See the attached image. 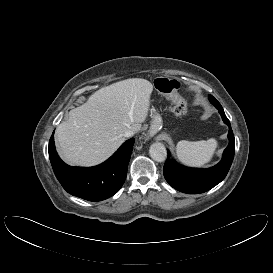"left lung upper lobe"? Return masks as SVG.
I'll list each match as a JSON object with an SVG mask.
<instances>
[{
    "instance_id": "5c2ea615",
    "label": "left lung upper lobe",
    "mask_w": 273,
    "mask_h": 273,
    "mask_svg": "<svg viewBox=\"0 0 273 273\" xmlns=\"http://www.w3.org/2000/svg\"><path fill=\"white\" fill-rule=\"evenodd\" d=\"M209 100L215 107L221 106L220 103L211 95H209Z\"/></svg>"
}]
</instances>
